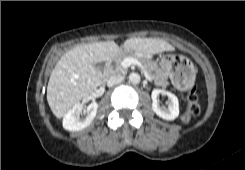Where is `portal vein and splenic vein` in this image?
Returning <instances> with one entry per match:
<instances>
[{
  "label": "portal vein and splenic vein",
  "instance_id": "1",
  "mask_svg": "<svg viewBox=\"0 0 245 170\" xmlns=\"http://www.w3.org/2000/svg\"><path fill=\"white\" fill-rule=\"evenodd\" d=\"M131 65H136L140 67L143 70L144 75L149 78L147 71L145 70L144 66L142 65L141 62H139L137 59H134L132 57H126L122 62H121V67L122 68H128Z\"/></svg>",
  "mask_w": 245,
  "mask_h": 170
}]
</instances>
